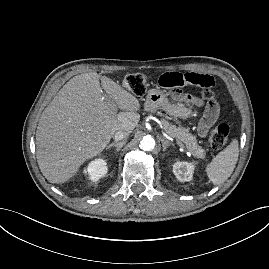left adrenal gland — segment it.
Segmentation results:
<instances>
[{
  "label": "left adrenal gland",
  "mask_w": 269,
  "mask_h": 269,
  "mask_svg": "<svg viewBox=\"0 0 269 269\" xmlns=\"http://www.w3.org/2000/svg\"><path fill=\"white\" fill-rule=\"evenodd\" d=\"M161 142H162V146H163V152L170 146V145H174L173 143L169 142L168 140H166L164 137L160 138Z\"/></svg>",
  "instance_id": "1"
}]
</instances>
